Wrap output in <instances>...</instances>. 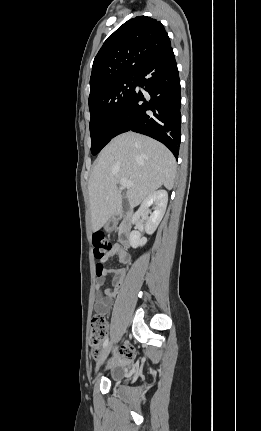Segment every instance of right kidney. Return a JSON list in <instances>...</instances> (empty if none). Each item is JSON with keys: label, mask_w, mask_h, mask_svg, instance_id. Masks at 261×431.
Returning <instances> with one entry per match:
<instances>
[{"label": "right kidney", "mask_w": 261, "mask_h": 431, "mask_svg": "<svg viewBox=\"0 0 261 431\" xmlns=\"http://www.w3.org/2000/svg\"><path fill=\"white\" fill-rule=\"evenodd\" d=\"M167 203L168 194L165 190H158L149 194L134 214L133 221L139 220L141 216H146L145 231L147 234H153L165 214ZM152 205H155L153 212L149 209ZM129 240L133 248L143 246L147 242L145 237H141L139 231H132Z\"/></svg>", "instance_id": "obj_1"}]
</instances>
